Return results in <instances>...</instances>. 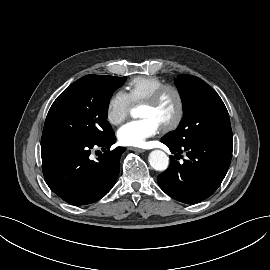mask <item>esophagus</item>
I'll return each mask as SVG.
<instances>
[{"mask_svg":"<svg viewBox=\"0 0 270 270\" xmlns=\"http://www.w3.org/2000/svg\"><path fill=\"white\" fill-rule=\"evenodd\" d=\"M130 150H133L135 152H139V153H143L145 152V149H141V148H134V147H131Z\"/></svg>","mask_w":270,"mask_h":270,"instance_id":"1","label":"esophagus"}]
</instances>
